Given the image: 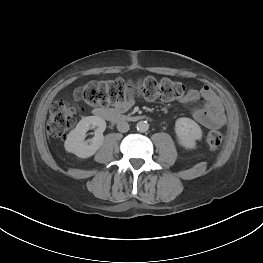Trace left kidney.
Listing matches in <instances>:
<instances>
[{
  "instance_id": "obj_1",
  "label": "left kidney",
  "mask_w": 263,
  "mask_h": 263,
  "mask_svg": "<svg viewBox=\"0 0 263 263\" xmlns=\"http://www.w3.org/2000/svg\"><path fill=\"white\" fill-rule=\"evenodd\" d=\"M175 132L182 146L188 149L196 147V140L202 138L200 126L187 117L178 118L175 122Z\"/></svg>"
}]
</instances>
